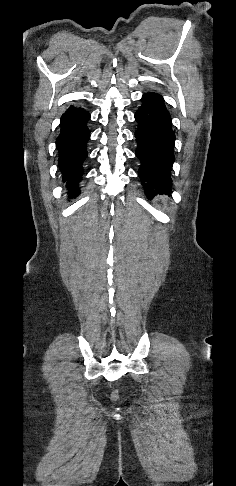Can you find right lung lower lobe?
I'll list each match as a JSON object with an SVG mask.
<instances>
[{"mask_svg": "<svg viewBox=\"0 0 236 486\" xmlns=\"http://www.w3.org/2000/svg\"><path fill=\"white\" fill-rule=\"evenodd\" d=\"M90 114L80 107L70 106L60 119V134L56 140L58 166L69 197L79 194L78 183L83 175L82 164L87 157L86 144L90 139L87 122Z\"/></svg>", "mask_w": 236, "mask_h": 486, "instance_id": "1", "label": "right lung lower lobe"}]
</instances>
